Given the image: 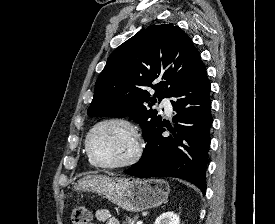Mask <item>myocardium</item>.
<instances>
[{
	"label": "myocardium",
	"mask_w": 275,
	"mask_h": 224,
	"mask_svg": "<svg viewBox=\"0 0 275 224\" xmlns=\"http://www.w3.org/2000/svg\"><path fill=\"white\" fill-rule=\"evenodd\" d=\"M110 123H118V124H122V125L126 126L130 130V132L133 136V140H134L133 153L131 154V156L129 158H127L126 160H124L122 162L103 163L100 160H98V158L94 155V153L92 152V149H91V137H92L93 133L101 126H103L105 124H110ZM85 149H86L88 157L95 164V166L105 168V169H120V168H125L128 166H131V165L135 164L140 159L142 152H143V139L141 137V134H140L137 126L130 120L123 118V117H117V116L107 117V118H104V119L98 121L88 131L86 138H85Z\"/></svg>",
	"instance_id": "1"
}]
</instances>
